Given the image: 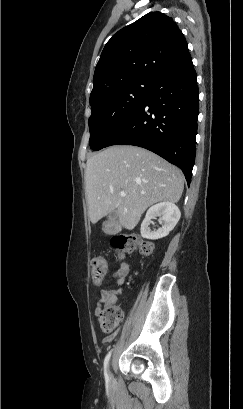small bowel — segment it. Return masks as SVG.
Returning a JSON list of instances; mask_svg holds the SVG:
<instances>
[{
    "label": "small bowel",
    "instance_id": "c3829d8e",
    "mask_svg": "<svg viewBox=\"0 0 243 409\" xmlns=\"http://www.w3.org/2000/svg\"><path fill=\"white\" fill-rule=\"evenodd\" d=\"M130 268L129 264L126 262H122L119 266V268L114 271L111 275V278L108 280L106 283L107 286H113V285H123L125 283V280L129 274ZM122 294V289H103L100 291V297L97 302V308H96V313H98V310L101 306V304L105 301H110L114 302L120 295ZM116 331L106 335L103 339L104 343H109L112 338L115 336Z\"/></svg>",
    "mask_w": 243,
    "mask_h": 409
}]
</instances>
